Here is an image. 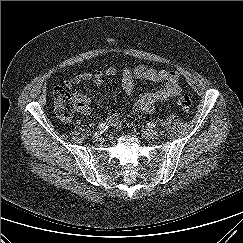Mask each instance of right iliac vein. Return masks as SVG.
<instances>
[{"label": "right iliac vein", "instance_id": "right-iliac-vein-1", "mask_svg": "<svg viewBox=\"0 0 243 243\" xmlns=\"http://www.w3.org/2000/svg\"><path fill=\"white\" fill-rule=\"evenodd\" d=\"M100 138H101V132L97 131V132H95V133L93 134V139H94L95 141L100 140Z\"/></svg>", "mask_w": 243, "mask_h": 243}]
</instances>
